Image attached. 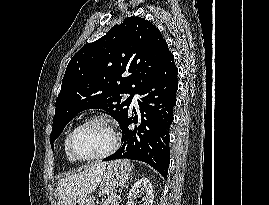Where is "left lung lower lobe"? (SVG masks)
Segmentation results:
<instances>
[{
    "label": "left lung lower lobe",
    "mask_w": 269,
    "mask_h": 205,
    "mask_svg": "<svg viewBox=\"0 0 269 205\" xmlns=\"http://www.w3.org/2000/svg\"><path fill=\"white\" fill-rule=\"evenodd\" d=\"M178 69L171 53L155 77L139 91L140 115L130 111L121 123L123 146L103 161L132 159L143 161L167 178L170 162L169 128L176 104ZM134 123V125H131Z\"/></svg>",
    "instance_id": "0a47b994"
}]
</instances>
